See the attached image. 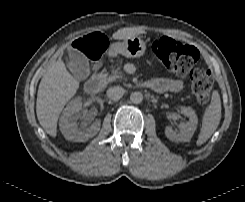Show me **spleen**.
<instances>
[{
	"label": "spleen",
	"instance_id": "1",
	"mask_svg": "<svg viewBox=\"0 0 245 202\" xmlns=\"http://www.w3.org/2000/svg\"><path fill=\"white\" fill-rule=\"evenodd\" d=\"M221 119V100L218 91H213L210 105L206 108L197 145L205 143L217 129Z\"/></svg>",
	"mask_w": 245,
	"mask_h": 202
}]
</instances>
